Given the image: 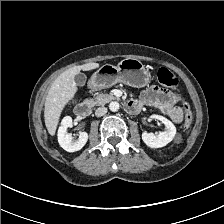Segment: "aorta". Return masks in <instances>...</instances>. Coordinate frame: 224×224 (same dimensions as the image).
<instances>
[{
    "label": "aorta",
    "instance_id": "aorta-1",
    "mask_svg": "<svg viewBox=\"0 0 224 224\" xmlns=\"http://www.w3.org/2000/svg\"><path fill=\"white\" fill-rule=\"evenodd\" d=\"M119 103L116 102V101H113L109 104V109L112 111V112H117L119 110Z\"/></svg>",
    "mask_w": 224,
    "mask_h": 224
}]
</instances>
